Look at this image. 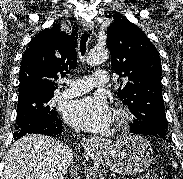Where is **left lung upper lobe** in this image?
<instances>
[{
	"instance_id": "obj_1",
	"label": "left lung upper lobe",
	"mask_w": 183,
	"mask_h": 179,
	"mask_svg": "<svg viewBox=\"0 0 183 179\" xmlns=\"http://www.w3.org/2000/svg\"><path fill=\"white\" fill-rule=\"evenodd\" d=\"M107 28V47L112 68L124 77L118 96L135 116L130 125L135 134L167 137L161 85V60L145 33L125 17L116 14Z\"/></svg>"
}]
</instances>
